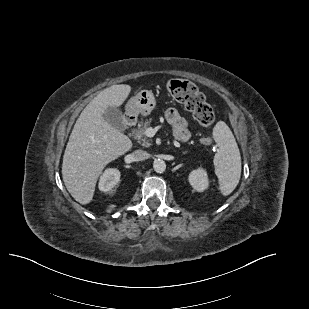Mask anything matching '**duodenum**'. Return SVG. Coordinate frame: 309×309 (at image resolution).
<instances>
[{
	"mask_svg": "<svg viewBox=\"0 0 309 309\" xmlns=\"http://www.w3.org/2000/svg\"><path fill=\"white\" fill-rule=\"evenodd\" d=\"M136 122V119L133 115L131 114H128L126 117H125V123L127 126H133Z\"/></svg>",
	"mask_w": 309,
	"mask_h": 309,
	"instance_id": "obj_1",
	"label": "duodenum"
}]
</instances>
